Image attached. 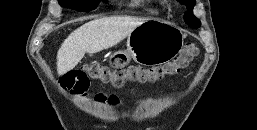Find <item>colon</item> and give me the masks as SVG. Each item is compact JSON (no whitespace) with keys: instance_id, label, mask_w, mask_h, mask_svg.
I'll return each mask as SVG.
<instances>
[{"instance_id":"colon-1","label":"colon","mask_w":257,"mask_h":130,"mask_svg":"<svg viewBox=\"0 0 257 130\" xmlns=\"http://www.w3.org/2000/svg\"><path fill=\"white\" fill-rule=\"evenodd\" d=\"M198 55L194 44H187L173 60L154 67L130 66L126 70H112L91 62L65 74L59 81L60 87L74 95H85L90 80L122 87L126 82L154 83L165 76L179 73Z\"/></svg>"}]
</instances>
